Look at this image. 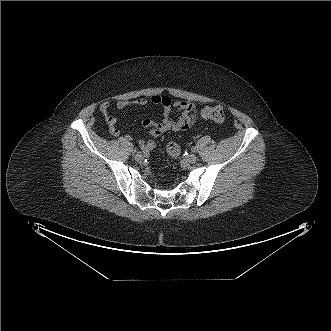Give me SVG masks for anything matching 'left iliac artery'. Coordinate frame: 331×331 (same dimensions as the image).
Returning a JSON list of instances; mask_svg holds the SVG:
<instances>
[{
    "mask_svg": "<svg viewBox=\"0 0 331 331\" xmlns=\"http://www.w3.org/2000/svg\"><path fill=\"white\" fill-rule=\"evenodd\" d=\"M192 151H193V152H196V148H195V147H193V148H192Z\"/></svg>",
    "mask_w": 331,
    "mask_h": 331,
    "instance_id": "1",
    "label": "left iliac artery"
}]
</instances>
